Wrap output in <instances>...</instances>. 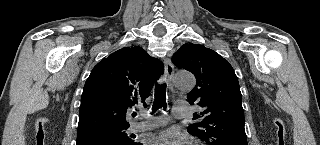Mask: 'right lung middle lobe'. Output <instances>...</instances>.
Segmentation results:
<instances>
[{
  "instance_id": "1",
  "label": "right lung middle lobe",
  "mask_w": 320,
  "mask_h": 145,
  "mask_svg": "<svg viewBox=\"0 0 320 145\" xmlns=\"http://www.w3.org/2000/svg\"><path fill=\"white\" fill-rule=\"evenodd\" d=\"M128 127H119V128H102L99 130H96L92 133L103 135L110 137L116 141H119L125 145H135L136 142L133 141L132 136H128L125 132V130Z\"/></svg>"
}]
</instances>
